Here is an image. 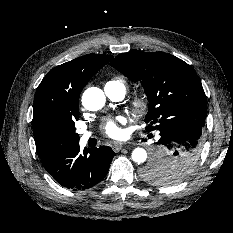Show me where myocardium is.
Here are the masks:
<instances>
[{"mask_svg":"<svg viewBox=\"0 0 233 233\" xmlns=\"http://www.w3.org/2000/svg\"><path fill=\"white\" fill-rule=\"evenodd\" d=\"M132 112L140 117L145 116L150 109V99L146 93H137L131 99Z\"/></svg>","mask_w":233,"mask_h":233,"instance_id":"1","label":"myocardium"}]
</instances>
